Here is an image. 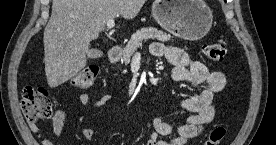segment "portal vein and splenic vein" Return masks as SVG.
<instances>
[{"mask_svg": "<svg viewBox=\"0 0 276 145\" xmlns=\"http://www.w3.org/2000/svg\"><path fill=\"white\" fill-rule=\"evenodd\" d=\"M114 25H115L114 19H110L106 23L107 29H112Z\"/></svg>", "mask_w": 276, "mask_h": 145, "instance_id": "18ae733b", "label": "portal vein and splenic vein"}]
</instances>
